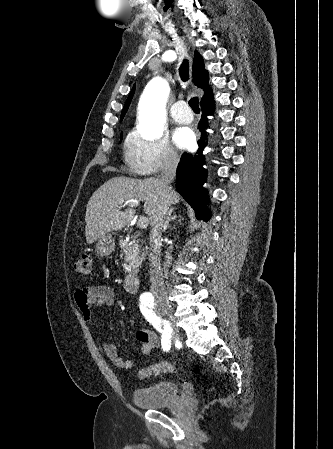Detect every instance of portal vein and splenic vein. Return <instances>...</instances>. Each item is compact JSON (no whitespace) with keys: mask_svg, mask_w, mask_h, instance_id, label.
<instances>
[{"mask_svg":"<svg viewBox=\"0 0 333 449\" xmlns=\"http://www.w3.org/2000/svg\"><path fill=\"white\" fill-rule=\"evenodd\" d=\"M126 205L130 206V207H136L138 205V201L137 200H130L128 202L125 203ZM149 224L148 218L146 217H140V219L137 222V226L139 228H146Z\"/></svg>","mask_w":333,"mask_h":449,"instance_id":"18ae733b","label":"portal vein and splenic vein"}]
</instances>
